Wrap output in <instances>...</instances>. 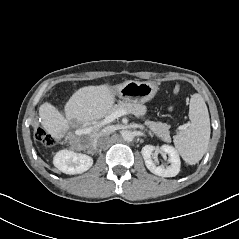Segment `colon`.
<instances>
[{"instance_id": "colon-1", "label": "colon", "mask_w": 239, "mask_h": 239, "mask_svg": "<svg viewBox=\"0 0 239 239\" xmlns=\"http://www.w3.org/2000/svg\"><path fill=\"white\" fill-rule=\"evenodd\" d=\"M35 138L45 146H52L55 143L54 138L43 128H38L35 132Z\"/></svg>"}]
</instances>
